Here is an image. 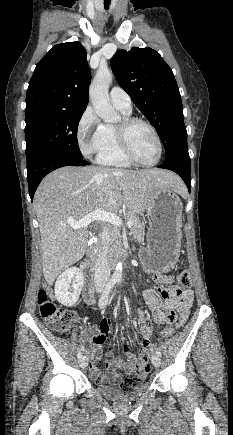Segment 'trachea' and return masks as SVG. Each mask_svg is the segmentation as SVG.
<instances>
[{"instance_id": "1", "label": "trachea", "mask_w": 233, "mask_h": 435, "mask_svg": "<svg viewBox=\"0 0 233 435\" xmlns=\"http://www.w3.org/2000/svg\"><path fill=\"white\" fill-rule=\"evenodd\" d=\"M110 1H111V0H104V8H105L106 10L109 9Z\"/></svg>"}]
</instances>
